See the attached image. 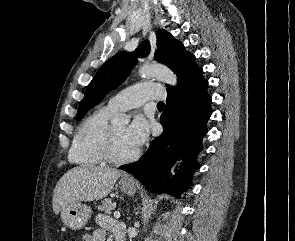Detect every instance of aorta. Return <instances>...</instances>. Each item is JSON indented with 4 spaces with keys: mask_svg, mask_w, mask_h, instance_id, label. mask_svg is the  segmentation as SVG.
Returning <instances> with one entry per match:
<instances>
[{
    "mask_svg": "<svg viewBox=\"0 0 295 241\" xmlns=\"http://www.w3.org/2000/svg\"><path fill=\"white\" fill-rule=\"evenodd\" d=\"M138 73L142 77H155L158 80L165 82L171 86H176L177 77L168 67L159 64H143ZM129 117L126 114H117L111 119V123L115 124H128Z\"/></svg>",
    "mask_w": 295,
    "mask_h": 241,
    "instance_id": "1",
    "label": "aorta"
}]
</instances>
